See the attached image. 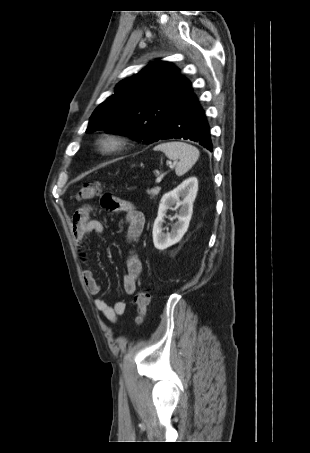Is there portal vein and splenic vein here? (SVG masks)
<instances>
[{
	"mask_svg": "<svg viewBox=\"0 0 310 453\" xmlns=\"http://www.w3.org/2000/svg\"><path fill=\"white\" fill-rule=\"evenodd\" d=\"M173 167H174V165H170V168H173ZM164 174H165V173L160 174V175L157 176V178H156V183H160V182H161L162 177L164 176Z\"/></svg>",
	"mask_w": 310,
	"mask_h": 453,
	"instance_id": "portal-vein-and-splenic-vein-1",
	"label": "portal vein and splenic vein"
}]
</instances>
